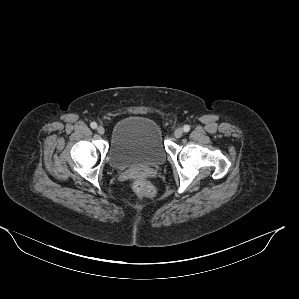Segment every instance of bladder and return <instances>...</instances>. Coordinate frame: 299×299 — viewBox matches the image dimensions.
<instances>
[{
	"label": "bladder",
	"instance_id": "bladder-1",
	"mask_svg": "<svg viewBox=\"0 0 299 299\" xmlns=\"http://www.w3.org/2000/svg\"><path fill=\"white\" fill-rule=\"evenodd\" d=\"M166 154L161 129L153 119L132 115L114 124L107 154L112 168L157 167Z\"/></svg>",
	"mask_w": 299,
	"mask_h": 299
}]
</instances>
